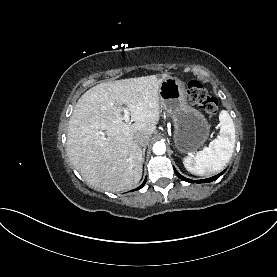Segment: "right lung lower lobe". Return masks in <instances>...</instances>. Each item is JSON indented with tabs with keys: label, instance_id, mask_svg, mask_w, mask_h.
<instances>
[{
	"label": "right lung lower lobe",
	"instance_id": "right-lung-lower-lobe-1",
	"mask_svg": "<svg viewBox=\"0 0 277 277\" xmlns=\"http://www.w3.org/2000/svg\"><path fill=\"white\" fill-rule=\"evenodd\" d=\"M145 182H146V179H145L144 182L137 188V190L140 189V188H142V187L145 185Z\"/></svg>",
	"mask_w": 277,
	"mask_h": 277
}]
</instances>
